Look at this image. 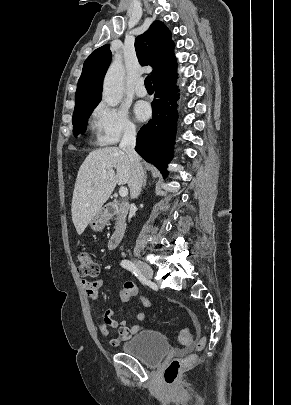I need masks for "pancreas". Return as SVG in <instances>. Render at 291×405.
Listing matches in <instances>:
<instances>
[{
    "label": "pancreas",
    "mask_w": 291,
    "mask_h": 405,
    "mask_svg": "<svg viewBox=\"0 0 291 405\" xmlns=\"http://www.w3.org/2000/svg\"><path fill=\"white\" fill-rule=\"evenodd\" d=\"M125 216H126L125 213L118 212V213H117V221H118L119 223L124 222Z\"/></svg>",
    "instance_id": "pancreas-1"
}]
</instances>
